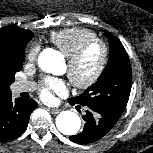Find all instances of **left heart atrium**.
<instances>
[{
    "label": "left heart atrium",
    "instance_id": "1",
    "mask_svg": "<svg viewBox=\"0 0 153 153\" xmlns=\"http://www.w3.org/2000/svg\"><path fill=\"white\" fill-rule=\"evenodd\" d=\"M67 92V85L64 80L55 77H46L40 87V96L46 102H52L54 95H64Z\"/></svg>",
    "mask_w": 153,
    "mask_h": 153
}]
</instances>
